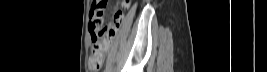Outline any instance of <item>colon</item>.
Instances as JSON below:
<instances>
[{"mask_svg":"<svg viewBox=\"0 0 267 72\" xmlns=\"http://www.w3.org/2000/svg\"><path fill=\"white\" fill-rule=\"evenodd\" d=\"M106 3V0H97L94 1L92 7L91 22L89 24L91 36L94 41L98 40L102 36V34L106 36V39L104 41H97L94 44L88 62L89 68L92 71H98L102 66L110 41L114 37L118 28L116 22H114L113 24L100 30L102 24V13L106 6Z\"/></svg>","mask_w":267,"mask_h":72,"instance_id":"5ec220e1","label":"colon"}]
</instances>
